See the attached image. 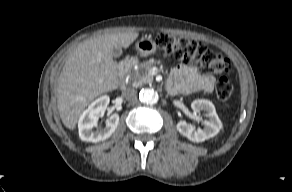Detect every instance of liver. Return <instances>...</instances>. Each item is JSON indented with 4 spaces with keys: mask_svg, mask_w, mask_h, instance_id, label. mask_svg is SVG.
<instances>
[{
    "mask_svg": "<svg viewBox=\"0 0 292 192\" xmlns=\"http://www.w3.org/2000/svg\"><path fill=\"white\" fill-rule=\"evenodd\" d=\"M138 32L100 35L80 43L69 53L57 86V107L70 130L98 96L119 87L113 48H128Z\"/></svg>",
    "mask_w": 292,
    "mask_h": 192,
    "instance_id": "6515ba94",
    "label": "liver"
}]
</instances>
